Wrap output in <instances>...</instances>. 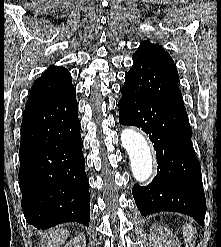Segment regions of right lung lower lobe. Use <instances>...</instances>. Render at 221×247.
I'll return each mask as SVG.
<instances>
[{"instance_id":"98d812e1","label":"right lung lower lobe","mask_w":221,"mask_h":247,"mask_svg":"<svg viewBox=\"0 0 221 247\" xmlns=\"http://www.w3.org/2000/svg\"><path fill=\"white\" fill-rule=\"evenodd\" d=\"M80 129L75 89L24 110L19 183L24 216L37 229L65 222L89 226Z\"/></svg>"}]
</instances>
